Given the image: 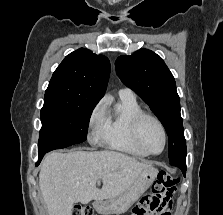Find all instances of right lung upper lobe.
I'll return each mask as SVG.
<instances>
[{"instance_id": "right-lung-upper-lobe-1", "label": "right lung upper lobe", "mask_w": 223, "mask_h": 215, "mask_svg": "<svg viewBox=\"0 0 223 215\" xmlns=\"http://www.w3.org/2000/svg\"><path fill=\"white\" fill-rule=\"evenodd\" d=\"M109 74L107 57L80 48L67 55L54 71L44 101L97 104L105 93Z\"/></svg>"}]
</instances>
